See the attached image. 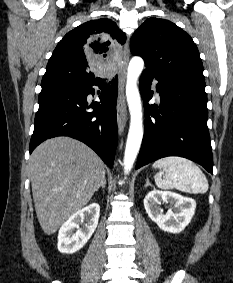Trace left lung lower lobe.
Segmentation results:
<instances>
[{
  "mask_svg": "<svg viewBox=\"0 0 233 283\" xmlns=\"http://www.w3.org/2000/svg\"><path fill=\"white\" fill-rule=\"evenodd\" d=\"M156 89L160 106L149 105L150 85ZM205 83L179 77H158L143 71L140 92L146 105V122L136 169L166 156H181L212 173L213 155L207 127Z\"/></svg>",
  "mask_w": 233,
  "mask_h": 283,
  "instance_id": "0a47b994",
  "label": "left lung lower lobe"
}]
</instances>
